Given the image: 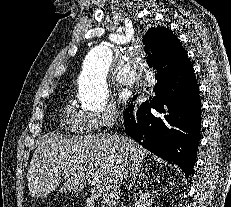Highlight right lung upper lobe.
Here are the masks:
<instances>
[{"instance_id": "1", "label": "right lung upper lobe", "mask_w": 231, "mask_h": 207, "mask_svg": "<svg viewBox=\"0 0 231 207\" xmlns=\"http://www.w3.org/2000/svg\"><path fill=\"white\" fill-rule=\"evenodd\" d=\"M142 41L148 55L147 63L153 69L158 70L166 66L179 67L190 62L178 38L165 27L156 28L149 38H143ZM156 63L162 65L156 66Z\"/></svg>"}]
</instances>
